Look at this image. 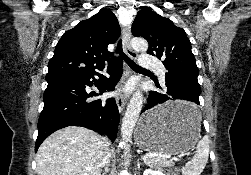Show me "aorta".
<instances>
[{
    "mask_svg": "<svg viewBox=\"0 0 251 175\" xmlns=\"http://www.w3.org/2000/svg\"><path fill=\"white\" fill-rule=\"evenodd\" d=\"M132 48L136 50V52H147L148 44L146 40H142V38H134L131 40ZM143 103V93L142 91H135L133 93L125 111V115L122 119L121 123V137L125 143H128L131 139V135L133 133V129L135 127V123L138 119V115L142 109ZM125 155L130 153V147L126 145L124 149Z\"/></svg>",
    "mask_w": 251,
    "mask_h": 175,
    "instance_id": "762f6f07",
    "label": "aorta"
}]
</instances>
